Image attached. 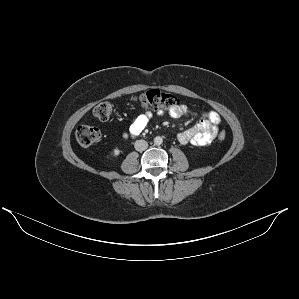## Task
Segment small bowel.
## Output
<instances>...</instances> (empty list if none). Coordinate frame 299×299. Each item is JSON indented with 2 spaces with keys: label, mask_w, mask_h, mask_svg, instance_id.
I'll use <instances>...</instances> for the list:
<instances>
[{
  "label": "small bowel",
  "mask_w": 299,
  "mask_h": 299,
  "mask_svg": "<svg viewBox=\"0 0 299 299\" xmlns=\"http://www.w3.org/2000/svg\"><path fill=\"white\" fill-rule=\"evenodd\" d=\"M192 113L188 105H179L170 110L169 114L173 118L187 116ZM158 114H162L161 112ZM153 117V113L148 111L139 114L129 124L128 131L132 135H139L148 125ZM221 118L214 111L204 112L201 119L191 128L178 134L177 139L182 145L205 146L210 144L218 133V125Z\"/></svg>",
  "instance_id": "obj_1"
}]
</instances>
